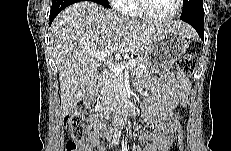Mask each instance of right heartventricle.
Returning <instances> with one entry per match:
<instances>
[{
    "label": "right heart ventricle",
    "instance_id": "right-heart-ventricle-1",
    "mask_svg": "<svg viewBox=\"0 0 231 151\" xmlns=\"http://www.w3.org/2000/svg\"><path fill=\"white\" fill-rule=\"evenodd\" d=\"M123 12H125L126 14H128L132 18L140 17L133 1H126L125 10Z\"/></svg>",
    "mask_w": 231,
    "mask_h": 151
}]
</instances>
